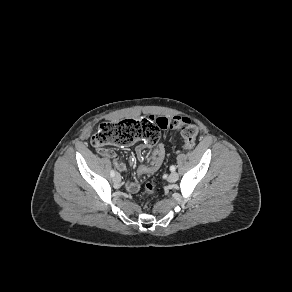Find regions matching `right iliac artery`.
<instances>
[{"instance_id": "1", "label": "right iliac artery", "mask_w": 292, "mask_h": 292, "mask_svg": "<svg viewBox=\"0 0 292 292\" xmlns=\"http://www.w3.org/2000/svg\"><path fill=\"white\" fill-rule=\"evenodd\" d=\"M110 175H111V177H114L115 176V171L111 170Z\"/></svg>"}]
</instances>
